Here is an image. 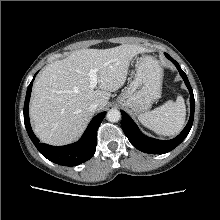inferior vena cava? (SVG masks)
<instances>
[{
	"instance_id": "1",
	"label": "inferior vena cava",
	"mask_w": 220,
	"mask_h": 220,
	"mask_svg": "<svg viewBox=\"0 0 220 220\" xmlns=\"http://www.w3.org/2000/svg\"><path fill=\"white\" fill-rule=\"evenodd\" d=\"M99 107V104L94 102L92 103L89 107H88V110L91 112V113H94Z\"/></svg>"
}]
</instances>
